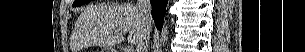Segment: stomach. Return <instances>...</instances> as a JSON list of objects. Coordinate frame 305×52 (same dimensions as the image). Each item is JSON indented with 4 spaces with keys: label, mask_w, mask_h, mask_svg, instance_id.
<instances>
[{
    "label": "stomach",
    "mask_w": 305,
    "mask_h": 52,
    "mask_svg": "<svg viewBox=\"0 0 305 52\" xmlns=\"http://www.w3.org/2000/svg\"><path fill=\"white\" fill-rule=\"evenodd\" d=\"M105 52H113V51H110V50H106Z\"/></svg>",
    "instance_id": "0dacf381"
}]
</instances>
